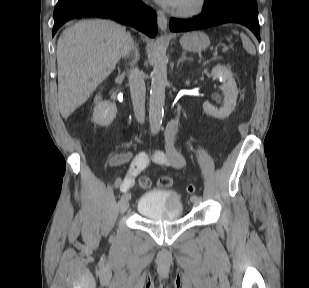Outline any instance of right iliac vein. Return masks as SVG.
Here are the masks:
<instances>
[{
  "label": "right iliac vein",
  "mask_w": 309,
  "mask_h": 288,
  "mask_svg": "<svg viewBox=\"0 0 309 288\" xmlns=\"http://www.w3.org/2000/svg\"><path fill=\"white\" fill-rule=\"evenodd\" d=\"M128 201H129V199H125V198L119 200L118 208H119V211L121 213H123V212H125L127 210V208H128Z\"/></svg>",
  "instance_id": "1"
}]
</instances>
